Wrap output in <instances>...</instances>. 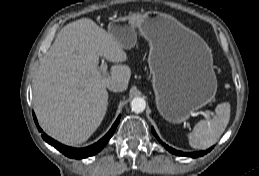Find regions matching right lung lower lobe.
Listing matches in <instances>:
<instances>
[{
    "instance_id": "1",
    "label": "right lung lower lobe",
    "mask_w": 259,
    "mask_h": 176,
    "mask_svg": "<svg viewBox=\"0 0 259 176\" xmlns=\"http://www.w3.org/2000/svg\"><path fill=\"white\" fill-rule=\"evenodd\" d=\"M33 117H34V121L37 125L38 130L42 132V129L39 127V125L37 123V119L34 114H33ZM119 120H120V116L117 118V120L115 121V123L113 124V126L109 130V132L101 140H99L97 143H95L91 146H88L86 148H72L69 146L62 145L59 142H57V141L53 140L52 138H50L49 136H47L46 134H42V137L47 143L54 146L56 149H58L60 152H62L66 156H68L70 158L81 159V158L95 155L107 144L109 139L114 134V132L117 128V125L119 123Z\"/></svg>"
}]
</instances>
